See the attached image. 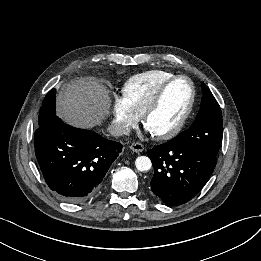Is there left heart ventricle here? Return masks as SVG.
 <instances>
[{"mask_svg":"<svg viewBox=\"0 0 261 261\" xmlns=\"http://www.w3.org/2000/svg\"><path fill=\"white\" fill-rule=\"evenodd\" d=\"M191 97L190 84L185 79L174 82L167 90L160 107L147 122L152 134L166 132L175 127L183 116Z\"/></svg>","mask_w":261,"mask_h":261,"instance_id":"b2bd125f","label":"left heart ventricle"}]
</instances>
